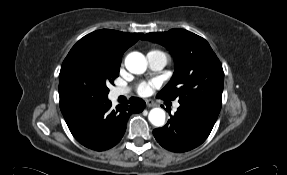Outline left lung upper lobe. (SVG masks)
<instances>
[{"label":"left lung upper lobe","instance_id":"obj_1","mask_svg":"<svg viewBox=\"0 0 287 175\" xmlns=\"http://www.w3.org/2000/svg\"><path fill=\"white\" fill-rule=\"evenodd\" d=\"M142 39L163 45L175 61L174 75L159 96L178 98L180 106L189 107L215 123L222 104L224 72L209 43L184 29L148 33Z\"/></svg>","mask_w":287,"mask_h":175}]
</instances>
